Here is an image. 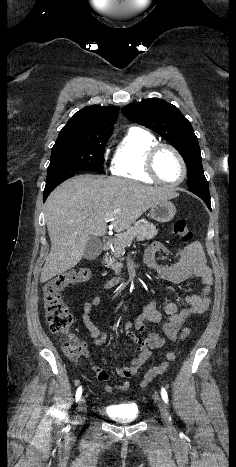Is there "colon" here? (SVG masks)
I'll list each match as a JSON object with an SVG mask.
<instances>
[{"label": "colon", "instance_id": "obj_1", "mask_svg": "<svg viewBox=\"0 0 236 467\" xmlns=\"http://www.w3.org/2000/svg\"><path fill=\"white\" fill-rule=\"evenodd\" d=\"M173 228L184 244H189L192 241L193 233L188 228L184 219H177L174 222ZM90 275V269L87 267L67 270L51 278L43 287L44 310L49 329L54 334L66 337L64 352L74 361L86 354V347L79 337L69 333L73 316L62 300L60 293L70 285L88 280ZM189 333V328H184L180 339H185ZM175 358L176 354L174 351L168 352L165 360L160 365L153 367L145 374L141 386L145 388L157 375L165 372Z\"/></svg>", "mask_w": 236, "mask_h": 467}]
</instances>
